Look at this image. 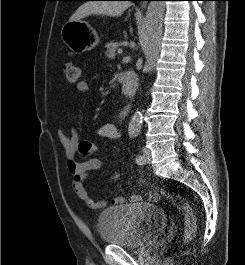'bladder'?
Segmentation results:
<instances>
[{
  "label": "bladder",
  "instance_id": "31cf9c89",
  "mask_svg": "<svg viewBox=\"0 0 245 265\" xmlns=\"http://www.w3.org/2000/svg\"><path fill=\"white\" fill-rule=\"evenodd\" d=\"M168 220L160 206L134 203L102 210L96 226L106 244L139 248L153 240L166 227Z\"/></svg>",
  "mask_w": 245,
  "mask_h": 265
}]
</instances>
